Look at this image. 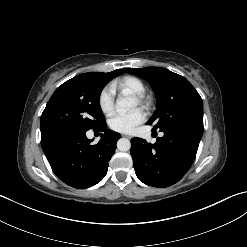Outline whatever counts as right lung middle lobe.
I'll list each match as a JSON object with an SVG mask.
<instances>
[{
  "instance_id": "dd1d6c3e",
  "label": "right lung middle lobe",
  "mask_w": 247,
  "mask_h": 247,
  "mask_svg": "<svg viewBox=\"0 0 247 247\" xmlns=\"http://www.w3.org/2000/svg\"><path fill=\"white\" fill-rule=\"evenodd\" d=\"M108 82L94 72L77 75L59 86L41 115V135L67 130L86 132L104 124L99 97Z\"/></svg>"
}]
</instances>
